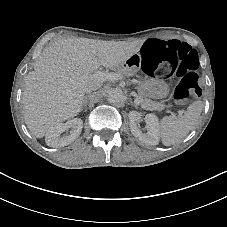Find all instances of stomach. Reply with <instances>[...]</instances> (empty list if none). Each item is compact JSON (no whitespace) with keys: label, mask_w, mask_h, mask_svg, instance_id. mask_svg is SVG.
<instances>
[{"label":"stomach","mask_w":227,"mask_h":227,"mask_svg":"<svg viewBox=\"0 0 227 227\" xmlns=\"http://www.w3.org/2000/svg\"><path fill=\"white\" fill-rule=\"evenodd\" d=\"M147 83L148 81H144L143 83L140 84L139 86V91L140 94L144 95V96H148L149 95V90L147 88Z\"/></svg>","instance_id":"obj_1"}]
</instances>
